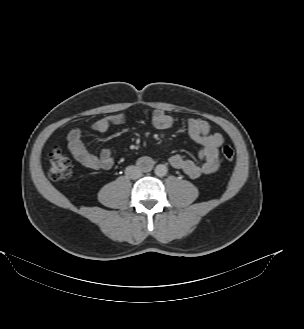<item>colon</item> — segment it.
Segmentation results:
<instances>
[{
    "instance_id": "colon-1",
    "label": "colon",
    "mask_w": 304,
    "mask_h": 329,
    "mask_svg": "<svg viewBox=\"0 0 304 329\" xmlns=\"http://www.w3.org/2000/svg\"><path fill=\"white\" fill-rule=\"evenodd\" d=\"M222 157L227 160H233L235 152L232 146L224 145L221 149ZM73 171L69 158L59 147L52 149L49 156V176L53 181L68 180L72 177Z\"/></svg>"
}]
</instances>
